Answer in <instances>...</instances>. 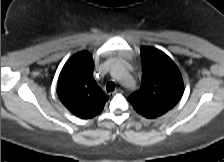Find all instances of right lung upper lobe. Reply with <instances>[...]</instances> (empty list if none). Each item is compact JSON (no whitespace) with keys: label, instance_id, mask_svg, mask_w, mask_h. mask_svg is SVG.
<instances>
[{"label":"right lung upper lobe","instance_id":"1","mask_svg":"<svg viewBox=\"0 0 224 162\" xmlns=\"http://www.w3.org/2000/svg\"><path fill=\"white\" fill-rule=\"evenodd\" d=\"M94 62L88 51L73 55L64 65L57 94L66 108L82 119L100 114L108 96L93 78Z\"/></svg>","mask_w":224,"mask_h":162}]
</instances>
